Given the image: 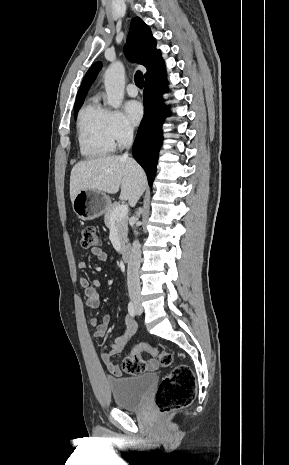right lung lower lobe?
Masks as SVG:
<instances>
[{"instance_id":"obj_1","label":"right lung lower lobe","mask_w":289,"mask_h":465,"mask_svg":"<svg viewBox=\"0 0 289 465\" xmlns=\"http://www.w3.org/2000/svg\"><path fill=\"white\" fill-rule=\"evenodd\" d=\"M167 85L166 75L145 82L143 92L144 117L132 148L135 160L145 170L149 185L156 173L158 154L162 145V123L167 116L162 94Z\"/></svg>"}]
</instances>
